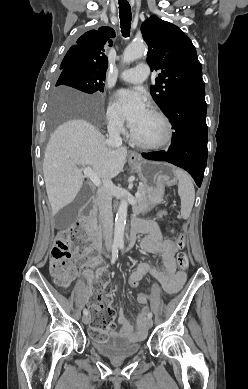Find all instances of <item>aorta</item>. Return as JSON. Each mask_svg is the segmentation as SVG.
I'll list each match as a JSON object with an SVG mask.
<instances>
[{
    "label": "aorta",
    "mask_w": 248,
    "mask_h": 389,
    "mask_svg": "<svg viewBox=\"0 0 248 389\" xmlns=\"http://www.w3.org/2000/svg\"><path fill=\"white\" fill-rule=\"evenodd\" d=\"M146 46L144 43H132L126 47L123 53V63H131L144 55ZM128 202L123 199L119 205L114 228V244L122 248L124 246V230L127 219Z\"/></svg>",
    "instance_id": "1"
}]
</instances>
